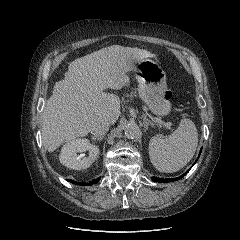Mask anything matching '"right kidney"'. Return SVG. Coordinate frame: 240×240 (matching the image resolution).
Returning <instances> with one entry per match:
<instances>
[{
	"label": "right kidney",
	"instance_id": "ca27d5eb",
	"mask_svg": "<svg viewBox=\"0 0 240 240\" xmlns=\"http://www.w3.org/2000/svg\"><path fill=\"white\" fill-rule=\"evenodd\" d=\"M89 151L88 157L80 158L77 153ZM99 148L89 142L88 139L78 138L63 145L59 155L60 162L75 170H82L90 167L98 158Z\"/></svg>",
	"mask_w": 240,
	"mask_h": 240
}]
</instances>
